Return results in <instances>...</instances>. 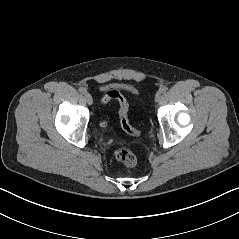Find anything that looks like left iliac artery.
Returning a JSON list of instances; mask_svg holds the SVG:
<instances>
[{"label":"left iliac artery","instance_id":"44dca946","mask_svg":"<svg viewBox=\"0 0 239 239\" xmlns=\"http://www.w3.org/2000/svg\"><path fill=\"white\" fill-rule=\"evenodd\" d=\"M167 87L166 86H162V87H160V89H159V91L161 92V93H165L166 91H167Z\"/></svg>","mask_w":239,"mask_h":239}]
</instances>
